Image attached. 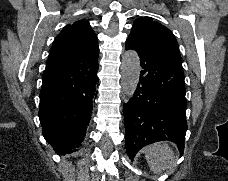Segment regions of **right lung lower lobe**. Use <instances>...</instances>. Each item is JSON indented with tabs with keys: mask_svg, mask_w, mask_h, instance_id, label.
<instances>
[{
	"mask_svg": "<svg viewBox=\"0 0 228 181\" xmlns=\"http://www.w3.org/2000/svg\"><path fill=\"white\" fill-rule=\"evenodd\" d=\"M99 48L47 64L40 92L42 133L57 154L74 152L84 138L97 83Z\"/></svg>",
	"mask_w": 228,
	"mask_h": 181,
	"instance_id": "obj_1",
	"label": "right lung lower lobe"
}]
</instances>
